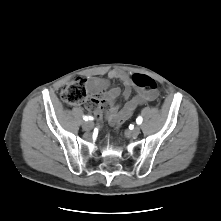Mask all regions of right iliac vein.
I'll return each instance as SVG.
<instances>
[{"mask_svg": "<svg viewBox=\"0 0 221 221\" xmlns=\"http://www.w3.org/2000/svg\"><path fill=\"white\" fill-rule=\"evenodd\" d=\"M82 127L85 131H90L93 128V123L91 121L84 122Z\"/></svg>", "mask_w": 221, "mask_h": 221, "instance_id": "obj_1", "label": "right iliac vein"}]
</instances>
